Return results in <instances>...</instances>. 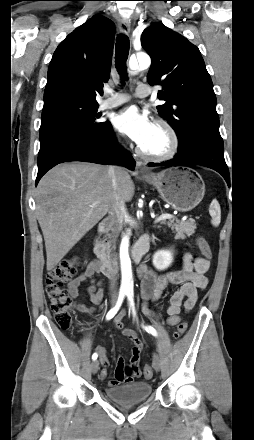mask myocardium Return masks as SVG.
<instances>
[{"label":"myocardium","mask_w":254,"mask_h":440,"mask_svg":"<svg viewBox=\"0 0 254 440\" xmlns=\"http://www.w3.org/2000/svg\"><path fill=\"white\" fill-rule=\"evenodd\" d=\"M155 126L162 128L169 138V145L167 149L161 153L145 152L140 146L137 148V153L144 159L156 162H162L173 158L179 149V136L174 127L165 119L159 118L155 120Z\"/></svg>","instance_id":"1"}]
</instances>
